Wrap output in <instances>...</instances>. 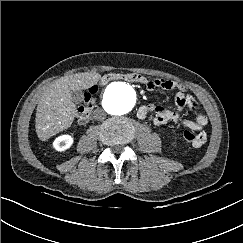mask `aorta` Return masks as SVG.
<instances>
[{
  "label": "aorta",
  "instance_id": "aorta-1",
  "mask_svg": "<svg viewBox=\"0 0 243 243\" xmlns=\"http://www.w3.org/2000/svg\"><path fill=\"white\" fill-rule=\"evenodd\" d=\"M102 104L113 115L128 113L134 106L132 86L122 82L110 84L105 89Z\"/></svg>",
  "mask_w": 243,
  "mask_h": 243
}]
</instances>
